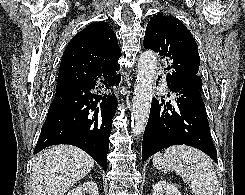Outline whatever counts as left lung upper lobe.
<instances>
[{"mask_svg": "<svg viewBox=\"0 0 245 195\" xmlns=\"http://www.w3.org/2000/svg\"><path fill=\"white\" fill-rule=\"evenodd\" d=\"M143 45L166 59L167 80L202 89V80L197 74L200 65L197 44L178 19L155 14L147 24Z\"/></svg>", "mask_w": 245, "mask_h": 195, "instance_id": "5c2ea615", "label": "left lung upper lobe"}]
</instances>
